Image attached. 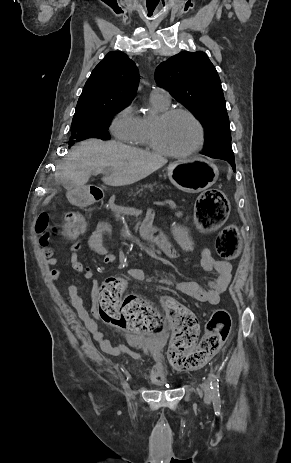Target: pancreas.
Masks as SVG:
<instances>
[{
  "label": "pancreas",
  "mask_w": 291,
  "mask_h": 463,
  "mask_svg": "<svg viewBox=\"0 0 291 463\" xmlns=\"http://www.w3.org/2000/svg\"><path fill=\"white\" fill-rule=\"evenodd\" d=\"M169 189L168 185L161 184L160 182L146 183L141 186H137L135 191L131 193L132 196L141 197L147 195H162Z\"/></svg>",
  "instance_id": "cf45deb5"
}]
</instances>
